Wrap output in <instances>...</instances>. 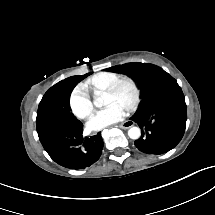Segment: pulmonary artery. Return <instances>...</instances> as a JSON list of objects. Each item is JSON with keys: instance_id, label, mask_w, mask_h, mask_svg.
<instances>
[{"instance_id": "pulmonary-artery-1", "label": "pulmonary artery", "mask_w": 215, "mask_h": 215, "mask_svg": "<svg viewBox=\"0 0 215 215\" xmlns=\"http://www.w3.org/2000/svg\"><path fill=\"white\" fill-rule=\"evenodd\" d=\"M114 83V78L110 74L101 73L93 78L92 85L96 89L110 87Z\"/></svg>"}]
</instances>
